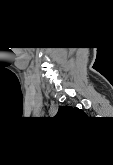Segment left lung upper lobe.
<instances>
[{
  "label": "left lung upper lobe",
  "mask_w": 113,
  "mask_h": 165,
  "mask_svg": "<svg viewBox=\"0 0 113 165\" xmlns=\"http://www.w3.org/2000/svg\"><path fill=\"white\" fill-rule=\"evenodd\" d=\"M59 114H67V115H73V116H84V113L82 110L78 108H72V107H60L58 110L57 115Z\"/></svg>",
  "instance_id": "5c2ea615"
}]
</instances>
